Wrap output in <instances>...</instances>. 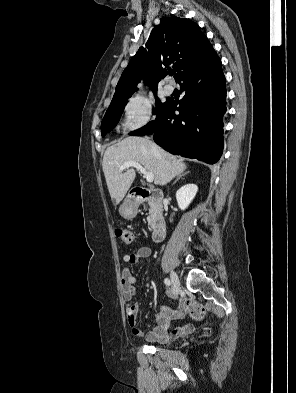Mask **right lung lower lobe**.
<instances>
[{
    "mask_svg": "<svg viewBox=\"0 0 296 393\" xmlns=\"http://www.w3.org/2000/svg\"><path fill=\"white\" fill-rule=\"evenodd\" d=\"M176 81L185 92L180 102L168 98L155 121L130 135L153 133L154 141L170 153L214 164L223 151L226 88L221 61L212 46Z\"/></svg>",
    "mask_w": 296,
    "mask_h": 393,
    "instance_id": "1",
    "label": "right lung lower lobe"
}]
</instances>
